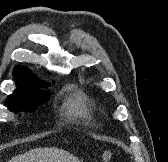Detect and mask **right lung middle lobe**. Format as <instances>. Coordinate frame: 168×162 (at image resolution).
I'll return each instance as SVG.
<instances>
[{"instance_id": "dd1d6c3e", "label": "right lung middle lobe", "mask_w": 168, "mask_h": 162, "mask_svg": "<svg viewBox=\"0 0 168 162\" xmlns=\"http://www.w3.org/2000/svg\"><path fill=\"white\" fill-rule=\"evenodd\" d=\"M42 86L45 85H30L15 91L8 96L7 104L9 109L11 111H33L39 103L49 99L50 93L39 89ZM33 99L36 101L34 104L30 103Z\"/></svg>"}]
</instances>
